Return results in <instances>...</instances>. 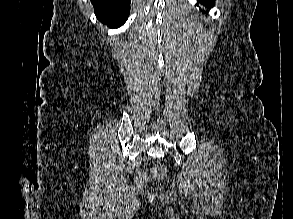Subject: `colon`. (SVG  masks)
Instances as JSON below:
<instances>
[{"mask_svg":"<svg viewBox=\"0 0 293 219\" xmlns=\"http://www.w3.org/2000/svg\"><path fill=\"white\" fill-rule=\"evenodd\" d=\"M166 175V168L164 166L157 167L150 172L141 171L136 175V183L143 185L151 180L161 179Z\"/></svg>","mask_w":293,"mask_h":219,"instance_id":"colon-1","label":"colon"}]
</instances>
